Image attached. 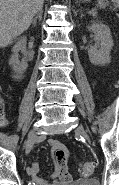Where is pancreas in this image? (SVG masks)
<instances>
[{"label":"pancreas","instance_id":"obj_1","mask_svg":"<svg viewBox=\"0 0 119 185\" xmlns=\"http://www.w3.org/2000/svg\"><path fill=\"white\" fill-rule=\"evenodd\" d=\"M92 15H93V16H95V15H96V13H93Z\"/></svg>","mask_w":119,"mask_h":185}]
</instances>
